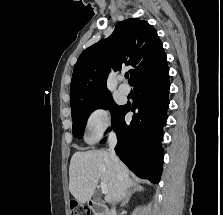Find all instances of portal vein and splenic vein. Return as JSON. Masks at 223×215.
<instances>
[{
    "label": "portal vein and splenic vein",
    "instance_id": "18ae733b",
    "mask_svg": "<svg viewBox=\"0 0 223 215\" xmlns=\"http://www.w3.org/2000/svg\"><path fill=\"white\" fill-rule=\"evenodd\" d=\"M100 185H101L102 193H108V187L105 181H100Z\"/></svg>",
    "mask_w": 223,
    "mask_h": 215
}]
</instances>
